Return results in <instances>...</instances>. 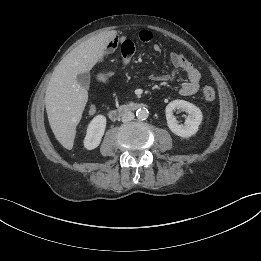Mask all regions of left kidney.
<instances>
[{
    "label": "left kidney",
    "instance_id": "5707ae66",
    "mask_svg": "<svg viewBox=\"0 0 261 261\" xmlns=\"http://www.w3.org/2000/svg\"><path fill=\"white\" fill-rule=\"evenodd\" d=\"M175 109H181L188 113L185 124H179L173 115ZM167 125L171 132L180 137H191L198 131V127L202 121L201 110L190 102L184 100H174L170 102L165 109Z\"/></svg>",
    "mask_w": 261,
    "mask_h": 261
}]
</instances>
